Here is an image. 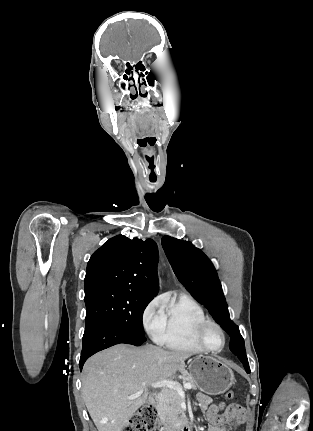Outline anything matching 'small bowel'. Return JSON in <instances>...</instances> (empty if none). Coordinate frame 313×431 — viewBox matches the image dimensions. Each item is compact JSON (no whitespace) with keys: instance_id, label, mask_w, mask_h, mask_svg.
I'll return each mask as SVG.
<instances>
[{"instance_id":"obj_1","label":"small bowel","mask_w":313,"mask_h":431,"mask_svg":"<svg viewBox=\"0 0 313 431\" xmlns=\"http://www.w3.org/2000/svg\"><path fill=\"white\" fill-rule=\"evenodd\" d=\"M197 401L208 422L207 431H229L231 427L245 422V412L237 404H212L211 398L203 393L197 395Z\"/></svg>"}]
</instances>
